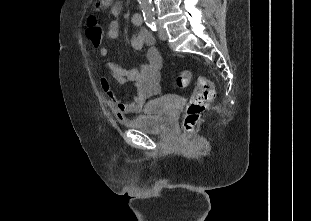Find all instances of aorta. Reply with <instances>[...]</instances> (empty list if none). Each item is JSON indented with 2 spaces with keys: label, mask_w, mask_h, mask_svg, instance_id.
<instances>
[{
  "label": "aorta",
  "mask_w": 311,
  "mask_h": 221,
  "mask_svg": "<svg viewBox=\"0 0 311 221\" xmlns=\"http://www.w3.org/2000/svg\"><path fill=\"white\" fill-rule=\"evenodd\" d=\"M140 8H142L144 20H153L154 10L151 0H139Z\"/></svg>",
  "instance_id": "762f6f07"
}]
</instances>
